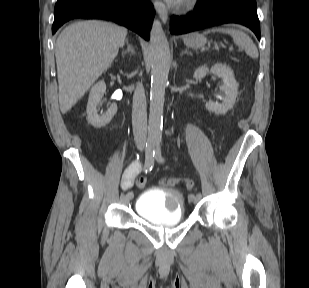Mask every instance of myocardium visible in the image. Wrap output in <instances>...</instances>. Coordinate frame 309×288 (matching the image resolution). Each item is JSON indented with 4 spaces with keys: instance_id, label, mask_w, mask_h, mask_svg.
Masks as SVG:
<instances>
[{
    "instance_id": "obj_1",
    "label": "myocardium",
    "mask_w": 309,
    "mask_h": 288,
    "mask_svg": "<svg viewBox=\"0 0 309 288\" xmlns=\"http://www.w3.org/2000/svg\"><path fill=\"white\" fill-rule=\"evenodd\" d=\"M198 0H181L180 8L183 10H192L196 7Z\"/></svg>"
}]
</instances>
